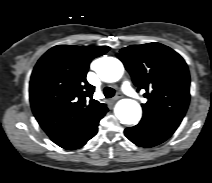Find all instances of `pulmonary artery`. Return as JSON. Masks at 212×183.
Masks as SVG:
<instances>
[{"label":"pulmonary artery","instance_id":"obj_1","mask_svg":"<svg viewBox=\"0 0 212 183\" xmlns=\"http://www.w3.org/2000/svg\"><path fill=\"white\" fill-rule=\"evenodd\" d=\"M122 90H123L126 94H128L129 96H132V97H136V96H137L136 92L131 88L129 82H124V83L122 84Z\"/></svg>","mask_w":212,"mask_h":183}]
</instances>
